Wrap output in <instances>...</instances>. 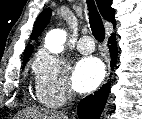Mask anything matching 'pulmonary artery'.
Wrapping results in <instances>:
<instances>
[{
  "instance_id": "e3ab8cb5",
  "label": "pulmonary artery",
  "mask_w": 142,
  "mask_h": 119,
  "mask_svg": "<svg viewBox=\"0 0 142 119\" xmlns=\"http://www.w3.org/2000/svg\"><path fill=\"white\" fill-rule=\"evenodd\" d=\"M77 49L82 54H90L95 49L94 41L90 37L85 36L78 41Z\"/></svg>"
}]
</instances>
